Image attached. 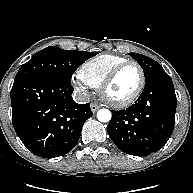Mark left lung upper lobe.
Instances as JSON below:
<instances>
[{
  "mask_svg": "<svg viewBox=\"0 0 193 193\" xmlns=\"http://www.w3.org/2000/svg\"><path fill=\"white\" fill-rule=\"evenodd\" d=\"M129 55L133 57L142 67L145 75V82L153 77L157 72L163 70L162 66L158 62L145 55L138 53H130Z\"/></svg>",
  "mask_w": 193,
  "mask_h": 193,
  "instance_id": "1",
  "label": "left lung upper lobe"
}]
</instances>
